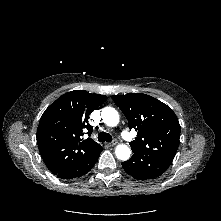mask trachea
I'll list each match as a JSON object with an SVG mask.
<instances>
[{
    "instance_id": "trachea-1",
    "label": "trachea",
    "mask_w": 221,
    "mask_h": 221,
    "mask_svg": "<svg viewBox=\"0 0 221 221\" xmlns=\"http://www.w3.org/2000/svg\"><path fill=\"white\" fill-rule=\"evenodd\" d=\"M98 141L99 142H111L112 141V136L109 133L106 132H100L98 134Z\"/></svg>"
}]
</instances>
